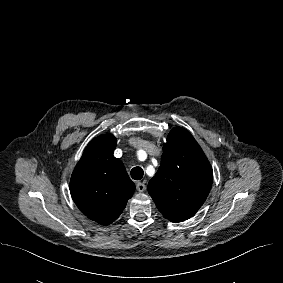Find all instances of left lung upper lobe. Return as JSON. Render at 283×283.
Here are the masks:
<instances>
[{
  "label": "left lung upper lobe",
  "instance_id": "obj_1",
  "mask_svg": "<svg viewBox=\"0 0 283 283\" xmlns=\"http://www.w3.org/2000/svg\"><path fill=\"white\" fill-rule=\"evenodd\" d=\"M212 182V167L193 136L184 128H173L148 184L159 211L171 222L189 219L206 200Z\"/></svg>",
  "mask_w": 283,
  "mask_h": 283
}]
</instances>
